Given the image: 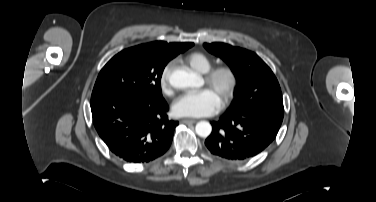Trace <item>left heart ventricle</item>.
I'll use <instances>...</instances> for the list:
<instances>
[{
	"label": "left heart ventricle",
	"mask_w": 376,
	"mask_h": 202,
	"mask_svg": "<svg viewBox=\"0 0 376 202\" xmlns=\"http://www.w3.org/2000/svg\"><path fill=\"white\" fill-rule=\"evenodd\" d=\"M223 86H224V82L220 84L219 88H211V90L217 95L219 100H221V91H222Z\"/></svg>",
	"instance_id": "1"
}]
</instances>
